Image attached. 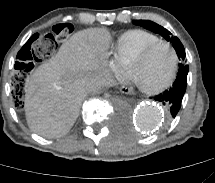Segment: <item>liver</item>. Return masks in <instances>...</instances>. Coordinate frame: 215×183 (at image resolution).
Here are the masks:
<instances>
[{"instance_id":"6515ba94","label":"liver","mask_w":215,"mask_h":183,"mask_svg":"<svg viewBox=\"0 0 215 183\" xmlns=\"http://www.w3.org/2000/svg\"><path fill=\"white\" fill-rule=\"evenodd\" d=\"M110 39L105 29L76 32L27 79L24 106L32 132L54 138L70 131L89 93L85 84L105 74Z\"/></svg>"}]
</instances>
